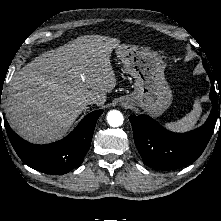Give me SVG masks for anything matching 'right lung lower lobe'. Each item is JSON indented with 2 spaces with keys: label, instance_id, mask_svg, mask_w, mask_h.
I'll return each mask as SVG.
<instances>
[{
  "label": "right lung lower lobe",
  "instance_id": "obj_1",
  "mask_svg": "<svg viewBox=\"0 0 221 221\" xmlns=\"http://www.w3.org/2000/svg\"><path fill=\"white\" fill-rule=\"evenodd\" d=\"M102 113L103 110L89 113L67 137L47 145L31 144L19 137L7 121L4 125L12 146L25 164L46 174L61 175L83 162L91 145L96 121Z\"/></svg>",
  "mask_w": 221,
  "mask_h": 221
}]
</instances>
